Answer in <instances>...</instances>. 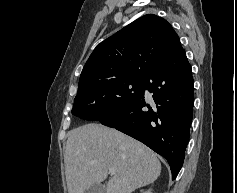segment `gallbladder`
<instances>
[{
	"label": "gallbladder",
	"mask_w": 237,
	"mask_h": 193,
	"mask_svg": "<svg viewBox=\"0 0 237 193\" xmlns=\"http://www.w3.org/2000/svg\"><path fill=\"white\" fill-rule=\"evenodd\" d=\"M84 193H105L104 186L101 183H95Z\"/></svg>",
	"instance_id": "obj_1"
}]
</instances>
